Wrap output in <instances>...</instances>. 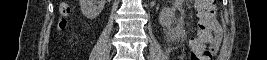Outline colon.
Returning a JSON list of instances; mask_svg holds the SVG:
<instances>
[{"label":"colon","mask_w":267,"mask_h":60,"mask_svg":"<svg viewBox=\"0 0 267 60\" xmlns=\"http://www.w3.org/2000/svg\"><path fill=\"white\" fill-rule=\"evenodd\" d=\"M196 13L198 17L199 30L190 41L193 60H209L213 55V50L207 43V33L215 22L216 0H197ZM59 11L63 18L58 22V27L64 29L67 25L64 18L70 11L69 6L62 2Z\"/></svg>","instance_id":"5ec220e1"}]
</instances>
